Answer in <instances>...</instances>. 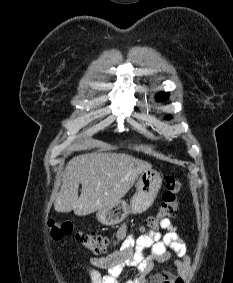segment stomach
<instances>
[{
	"mask_svg": "<svg viewBox=\"0 0 233 283\" xmlns=\"http://www.w3.org/2000/svg\"><path fill=\"white\" fill-rule=\"evenodd\" d=\"M162 185L161 175L149 168L140 173L136 183V193L127 204L120 200L113 206L98 210L96 217L104 225L121 223L128 214L145 212L154 202Z\"/></svg>",
	"mask_w": 233,
	"mask_h": 283,
	"instance_id": "stomach-1",
	"label": "stomach"
}]
</instances>
